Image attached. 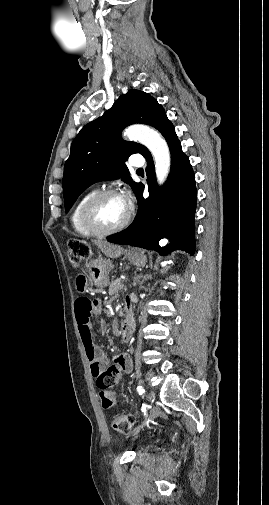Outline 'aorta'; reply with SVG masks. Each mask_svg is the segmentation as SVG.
<instances>
[{
	"label": "aorta",
	"instance_id": "1",
	"mask_svg": "<svg viewBox=\"0 0 269 505\" xmlns=\"http://www.w3.org/2000/svg\"><path fill=\"white\" fill-rule=\"evenodd\" d=\"M124 136L139 141L151 152L158 184L162 185L170 172L171 157L169 147L162 136L154 129L144 125H133L126 129Z\"/></svg>",
	"mask_w": 269,
	"mask_h": 505
}]
</instances>
